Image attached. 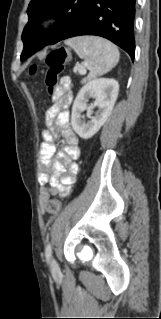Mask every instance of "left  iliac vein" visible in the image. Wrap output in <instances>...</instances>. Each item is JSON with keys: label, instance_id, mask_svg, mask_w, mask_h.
<instances>
[{"label": "left iliac vein", "instance_id": "4c4485c4", "mask_svg": "<svg viewBox=\"0 0 161 319\" xmlns=\"http://www.w3.org/2000/svg\"><path fill=\"white\" fill-rule=\"evenodd\" d=\"M51 271L53 274H57L60 272V268L58 266L57 261L52 257L50 260Z\"/></svg>", "mask_w": 161, "mask_h": 319}]
</instances>
